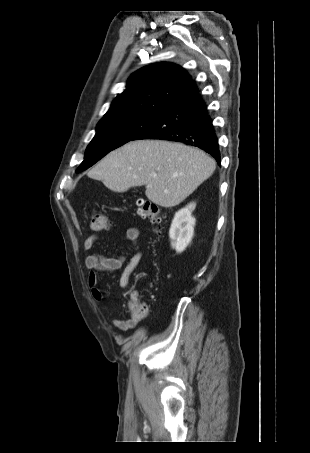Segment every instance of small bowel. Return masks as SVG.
Masks as SVG:
<instances>
[{"label":"small bowel","instance_id":"1","mask_svg":"<svg viewBox=\"0 0 310 453\" xmlns=\"http://www.w3.org/2000/svg\"><path fill=\"white\" fill-rule=\"evenodd\" d=\"M126 238L134 246L133 255L126 264L123 256L107 257L101 254H92L85 258V265L89 270L87 283L93 299L97 302H100L103 299L102 291L98 286L99 273H114L121 270L118 283L122 289H127L129 286V278L142 259L143 253L138 245L140 230L137 227L128 228L126 231ZM98 240V235H91L82 242V248L89 250ZM141 319L142 318H137L132 315L125 319L115 318L113 320V325L121 331H126L134 328Z\"/></svg>","mask_w":310,"mask_h":453}]
</instances>
